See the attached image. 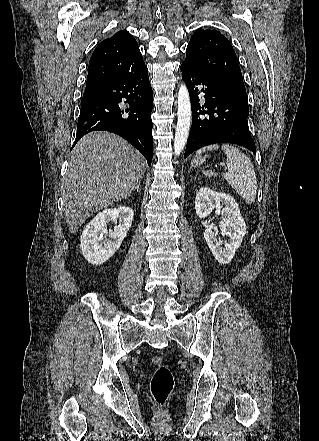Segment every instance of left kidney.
<instances>
[{
	"instance_id": "left-kidney-1",
	"label": "left kidney",
	"mask_w": 319,
	"mask_h": 441,
	"mask_svg": "<svg viewBox=\"0 0 319 441\" xmlns=\"http://www.w3.org/2000/svg\"><path fill=\"white\" fill-rule=\"evenodd\" d=\"M214 208L221 211L223 221L220 222L219 226L223 236L228 237V241H224L225 248H222L221 242L217 239V233L212 228L205 230L204 238L216 260L220 264H227L232 260L236 250L241 245L246 232V224L239 206L232 196L216 192L207 187L201 188L195 199L197 216L205 218Z\"/></svg>"
}]
</instances>
